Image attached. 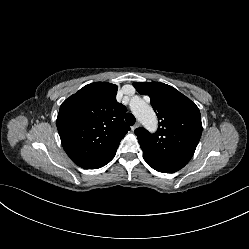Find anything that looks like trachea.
I'll return each instance as SVG.
<instances>
[{
    "mask_svg": "<svg viewBox=\"0 0 249 249\" xmlns=\"http://www.w3.org/2000/svg\"><path fill=\"white\" fill-rule=\"evenodd\" d=\"M125 120H126L127 124L130 126H133L136 122L135 117L131 113H127L125 115Z\"/></svg>",
    "mask_w": 249,
    "mask_h": 249,
    "instance_id": "obj_1",
    "label": "trachea"
}]
</instances>
